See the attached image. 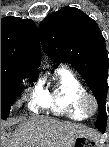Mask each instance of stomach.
Segmentation results:
<instances>
[{"instance_id": "1", "label": "stomach", "mask_w": 109, "mask_h": 147, "mask_svg": "<svg viewBox=\"0 0 109 147\" xmlns=\"http://www.w3.org/2000/svg\"><path fill=\"white\" fill-rule=\"evenodd\" d=\"M103 147L97 139L87 136H78L74 139L73 147Z\"/></svg>"}]
</instances>
